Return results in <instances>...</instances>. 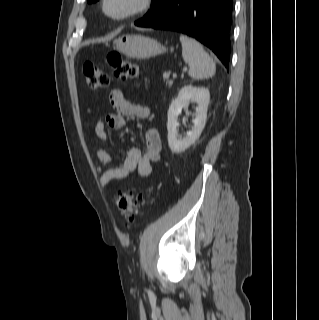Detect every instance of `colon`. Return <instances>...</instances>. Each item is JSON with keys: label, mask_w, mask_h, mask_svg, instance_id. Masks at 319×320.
Returning <instances> with one entry per match:
<instances>
[{"label": "colon", "mask_w": 319, "mask_h": 320, "mask_svg": "<svg viewBox=\"0 0 319 320\" xmlns=\"http://www.w3.org/2000/svg\"><path fill=\"white\" fill-rule=\"evenodd\" d=\"M106 64L112 69L113 75L121 80L135 81L139 77L137 64L124 60L116 51L107 54ZM83 74L87 86L92 90L107 87L110 83V74L95 63H84ZM144 200L145 196L142 193L132 190H122L114 197V203L127 223L136 220Z\"/></svg>", "instance_id": "colon-1"}]
</instances>
